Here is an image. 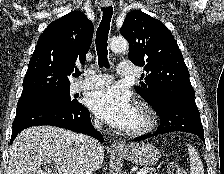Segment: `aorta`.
<instances>
[{"instance_id":"1","label":"aorta","mask_w":224,"mask_h":174,"mask_svg":"<svg viewBox=\"0 0 224 174\" xmlns=\"http://www.w3.org/2000/svg\"><path fill=\"white\" fill-rule=\"evenodd\" d=\"M110 48L115 53H120L128 48V42L123 37H114L110 41Z\"/></svg>"}]
</instances>
